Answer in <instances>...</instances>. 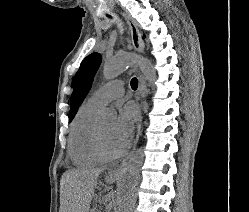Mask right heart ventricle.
Returning <instances> with one entry per match:
<instances>
[{
    "instance_id": "right-heart-ventricle-1",
    "label": "right heart ventricle",
    "mask_w": 249,
    "mask_h": 212,
    "mask_svg": "<svg viewBox=\"0 0 249 212\" xmlns=\"http://www.w3.org/2000/svg\"><path fill=\"white\" fill-rule=\"evenodd\" d=\"M99 110V107L88 100L78 108L71 122L68 154L76 166H93L103 161L96 152L93 140L96 116Z\"/></svg>"
}]
</instances>
